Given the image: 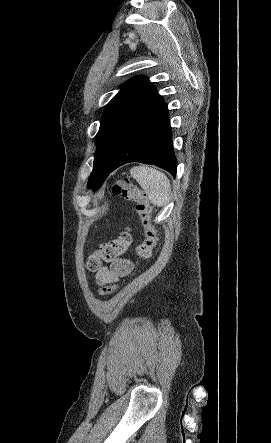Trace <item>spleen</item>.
Segmentation results:
<instances>
[{
	"mask_svg": "<svg viewBox=\"0 0 271 443\" xmlns=\"http://www.w3.org/2000/svg\"><path fill=\"white\" fill-rule=\"evenodd\" d=\"M130 174L146 192L151 204L158 208L167 204L171 186L165 174L148 166H135L131 168Z\"/></svg>",
	"mask_w": 271,
	"mask_h": 443,
	"instance_id": "spleen-1",
	"label": "spleen"
}]
</instances>
